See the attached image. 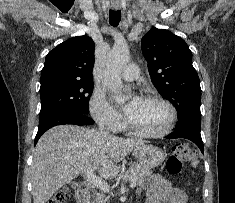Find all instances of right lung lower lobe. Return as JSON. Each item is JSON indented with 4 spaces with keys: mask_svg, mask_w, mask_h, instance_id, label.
I'll use <instances>...</instances> for the list:
<instances>
[{
    "mask_svg": "<svg viewBox=\"0 0 235 203\" xmlns=\"http://www.w3.org/2000/svg\"><path fill=\"white\" fill-rule=\"evenodd\" d=\"M94 121L85 114H81L74 111H60L49 114L45 117L39 118V128L35 137L34 146L41 137V135L48 129L64 124L74 125H91Z\"/></svg>",
    "mask_w": 235,
    "mask_h": 203,
    "instance_id": "right-lung-lower-lobe-1",
    "label": "right lung lower lobe"
}]
</instances>
